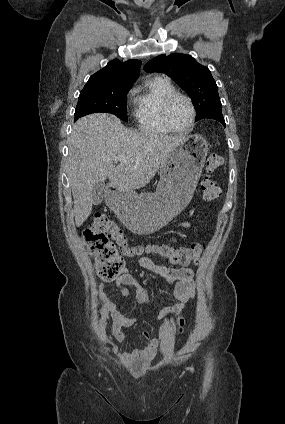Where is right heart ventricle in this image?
Masks as SVG:
<instances>
[{
    "label": "right heart ventricle",
    "instance_id": "obj_1",
    "mask_svg": "<svg viewBox=\"0 0 285 424\" xmlns=\"http://www.w3.org/2000/svg\"><path fill=\"white\" fill-rule=\"evenodd\" d=\"M176 93L170 81L155 77L135 89L134 118L141 131L152 135H168L171 131L162 121L164 101Z\"/></svg>",
    "mask_w": 285,
    "mask_h": 424
}]
</instances>
